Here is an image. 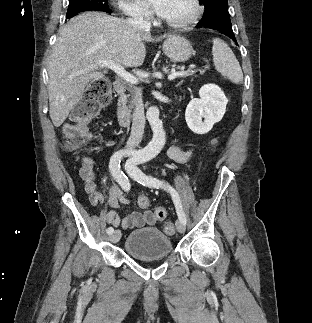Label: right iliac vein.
<instances>
[{
	"mask_svg": "<svg viewBox=\"0 0 312 323\" xmlns=\"http://www.w3.org/2000/svg\"><path fill=\"white\" fill-rule=\"evenodd\" d=\"M121 237V232L120 230H115L113 231V233L110 235V240L113 242V243H116L119 241Z\"/></svg>",
	"mask_w": 312,
	"mask_h": 323,
	"instance_id": "63e3f726",
	"label": "right iliac vein"
}]
</instances>
